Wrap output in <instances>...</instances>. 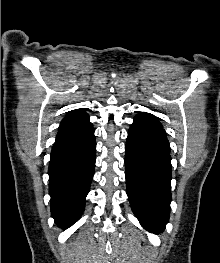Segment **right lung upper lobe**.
Returning <instances> with one entry per match:
<instances>
[{"label":"right lung upper lobe","mask_w":220,"mask_h":263,"mask_svg":"<svg viewBox=\"0 0 220 263\" xmlns=\"http://www.w3.org/2000/svg\"><path fill=\"white\" fill-rule=\"evenodd\" d=\"M92 128V124L89 121L87 113L76 110L68 113V115L62 120L59 133L61 134H79L85 133Z\"/></svg>","instance_id":"cb5924a9"}]
</instances>
